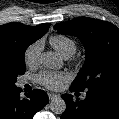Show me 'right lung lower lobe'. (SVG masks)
<instances>
[{"label": "right lung lower lobe", "mask_w": 119, "mask_h": 119, "mask_svg": "<svg viewBox=\"0 0 119 119\" xmlns=\"http://www.w3.org/2000/svg\"><path fill=\"white\" fill-rule=\"evenodd\" d=\"M20 88H15L0 100V119H33V116L48 103L46 92L35 89L20 97Z\"/></svg>", "instance_id": "98d812e1"}]
</instances>
